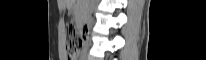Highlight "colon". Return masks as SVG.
Wrapping results in <instances>:
<instances>
[{"label":"colon","mask_w":206,"mask_h":60,"mask_svg":"<svg viewBox=\"0 0 206 60\" xmlns=\"http://www.w3.org/2000/svg\"><path fill=\"white\" fill-rule=\"evenodd\" d=\"M66 41L68 49V59L76 60L82 49V38L79 36V33L74 25H69L66 28Z\"/></svg>","instance_id":"obj_1"}]
</instances>
